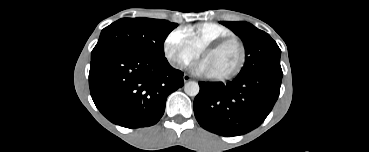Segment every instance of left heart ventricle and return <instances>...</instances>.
<instances>
[{"mask_svg": "<svg viewBox=\"0 0 369 152\" xmlns=\"http://www.w3.org/2000/svg\"><path fill=\"white\" fill-rule=\"evenodd\" d=\"M239 59L240 50L235 43H228L201 57L209 76H220L231 72L237 66Z\"/></svg>", "mask_w": 369, "mask_h": 152, "instance_id": "obj_1", "label": "left heart ventricle"}]
</instances>
